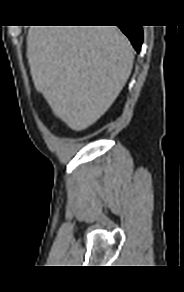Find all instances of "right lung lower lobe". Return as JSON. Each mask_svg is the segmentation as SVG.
<instances>
[{
    "label": "right lung lower lobe",
    "instance_id": "1",
    "mask_svg": "<svg viewBox=\"0 0 184 292\" xmlns=\"http://www.w3.org/2000/svg\"><path fill=\"white\" fill-rule=\"evenodd\" d=\"M123 33L130 39L133 47L137 52H140L142 41H143V31L141 26H119Z\"/></svg>",
    "mask_w": 184,
    "mask_h": 292
}]
</instances>
